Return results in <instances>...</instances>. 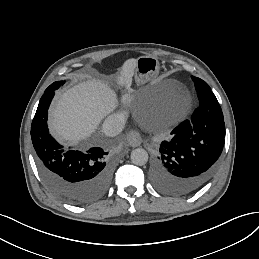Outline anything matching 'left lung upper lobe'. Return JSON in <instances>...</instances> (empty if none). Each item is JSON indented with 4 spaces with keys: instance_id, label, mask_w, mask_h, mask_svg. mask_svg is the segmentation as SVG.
Segmentation results:
<instances>
[{
    "instance_id": "5c2ea615",
    "label": "left lung upper lobe",
    "mask_w": 259,
    "mask_h": 259,
    "mask_svg": "<svg viewBox=\"0 0 259 259\" xmlns=\"http://www.w3.org/2000/svg\"><path fill=\"white\" fill-rule=\"evenodd\" d=\"M192 79L195 83V88L196 91H201V90H211V88L209 87V85L203 81L202 79L198 78V77H194L192 76Z\"/></svg>"
}]
</instances>
